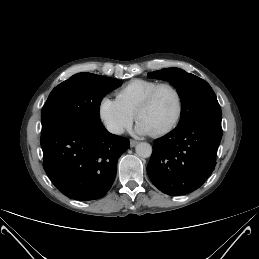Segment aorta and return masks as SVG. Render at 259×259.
I'll return each instance as SVG.
<instances>
[{
    "label": "aorta",
    "mask_w": 259,
    "mask_h": 259,
    "mask_svg": "<svg viewBox=\"0 0 259 259\" xmlns=\"http://www.w3.org/2000/svg\"><path fill=\"white\" fill-rule=\"evenodd\" d=\"M135 151L140 158H149L152 154V146L147 142H141L136 145Z\"/></svg>",
    "instance_id": "obj_1"
}]
</instances>
